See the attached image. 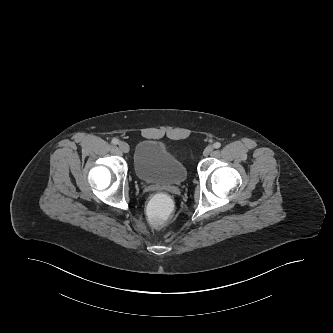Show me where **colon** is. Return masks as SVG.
Listing matches in <instances>:
<instances>
[{"mask_svg": "<svg viewBox=\"0 0 333 333\" xmlns=\"http://www.w3.org/2000/svg\"><path fill=\"white\" fill-rule=\"evenodd\" d=\"M176 202L172 195L165 192L156 193L148 203V222L154 228H163L171 218L170 212L175 208Z\"/></svg>", "mask_w": 333, "mask_h": 333, "instance_id": "5ec220e1", "label": "colon"}]
</instances>
